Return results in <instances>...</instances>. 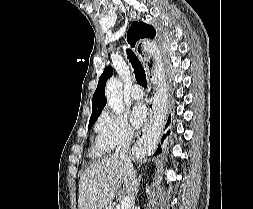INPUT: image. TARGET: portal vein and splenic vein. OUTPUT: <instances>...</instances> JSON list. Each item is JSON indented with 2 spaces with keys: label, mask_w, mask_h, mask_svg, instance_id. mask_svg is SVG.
Returning <instances> with one entry per match:
<instances>
[{
  "label": "portal vein and splenic vein",
  "mask_w": 253,
  "mask_h": 209,
  "mask_svg": "<svg viewBox=\"0 0 253 209\" xmlns=\"http://www.w3.org/2000/svg\"><path fill=\"white\" fill-rule=\"evenodd\" d=\"M130 197L125 196L123 197L122 201H121V209H128L130 207Z\"/></svg>",
  "instance_id": "18ae733b"
}]
</instances>
